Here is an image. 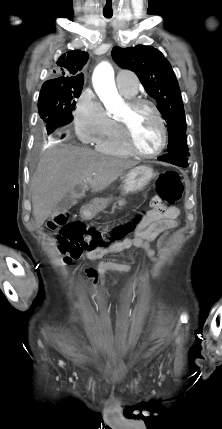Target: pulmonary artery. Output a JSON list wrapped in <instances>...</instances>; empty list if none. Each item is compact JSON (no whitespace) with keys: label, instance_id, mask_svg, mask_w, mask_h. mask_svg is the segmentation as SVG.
<instances>
[{"label":"pulmonary artery","instance_id":"obj_1","mask_svg":"<svg viewBox=\"0 0 222 429\" xmlns=\"http://www.w3.org/2000/svg\"><path fill=\"white\" fill-rule=\"evenodd\" d=\"M117 87L124 94H136L138 90V80L134 73L130 71H120L116 77Z\"/></svg>","mask_w":222,"mask_h":429}]
</instances>
